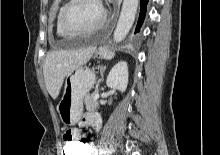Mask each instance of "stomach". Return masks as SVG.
<instances>
[{
    "label": "stomach",
    "instance_id": "obj_1",
    "mask_svg": "<svg viewBox=\"0 0 220 155\" xmlns=\"http://www.w3.org/2000/svg\"><path fill=\"white\" fill-rule=\"evenodd\" d=\"M99 58H108L111 54L104 48L96 51ZM95 74L88 68L79 67L67 76L64 93L58 103L57 111L61 121L67 126L75 125L83 113V100L93 88Z\"/></svg>",
    "mask_w": 220,
    "mask_h": 155
}]
</instances>
